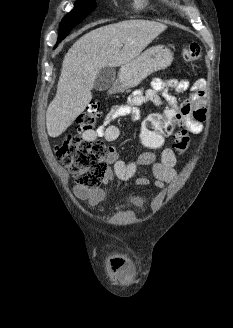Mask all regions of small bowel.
Segmentation results:
<instances>
[{
	"label": "small bowel",
	"instance_id": "c3829d8e",
	"mask_svg": "<svg viewBox=\"0 0 233 328\" xmlns=\"http://www.w3.org/2000/svg\"><path fill=\"white\" fill-rule=\"evenodd\" d=\"M206 81L198 79L190 84L185 79H162L155 78L151 82L149 89H138L133 91L123 104L113 106L105 117L103 123L95 130L85 131L82 137L85 140L93 141L103 137L108 142L116 141L120 136V130L111 122L120 117H130L132 120L141 118L140 106L153 104L160 106L163 101L171 104V109L177 110L182 114L185 126L193 134H199L203 130V122L206 118L205 96ZM169 89L177 92L191 91L190 97L178 105L174 98L168 93ZM107 161L113 164V169H108L105 176V184L114 179L128 180L134 177L140 167H147L151 170L153 183L156 187L162 188L165 184L171 183L177 176L175 165L177 162L174 151L170 147H164L160 156L157 157L153 152L146 151L140 153L131 162L119 159L115 149L110 148L107 154ZM139 185H148L149 178L140 176L136 179ZM77 199L86 201L90 206H96L107 197L103 189L90 191L80 186L73 189ZM108 264L113 277L119 282H128L133 273V263L131 259L123 253L112 255Z\"/></svg>",
	"mask_w": 233,
	"mask_h": 328
}]
</instances>
